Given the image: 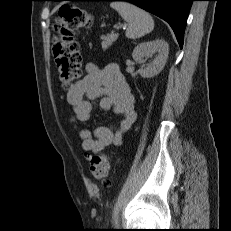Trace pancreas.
<instances>
[{
  "instance_id": "obj_1",
  "label": "pancreas",
  "mask_w": 231,
  "mask_h": 231,
  "mask_svg": "<svg viewBox=\"0 0 231 231\" xmlns=\"http://www.w3.org/2000/svg\"><path fill=\"white\" fill-rule=\"evenodd\" d=\"M118 38V34H115V33H111V34H108V35H102L101 36V39L103 40L102 41V48L103 49H107L109 46L112 45V43L114 41H116Z\"/></svg>"
}]
</instances>
